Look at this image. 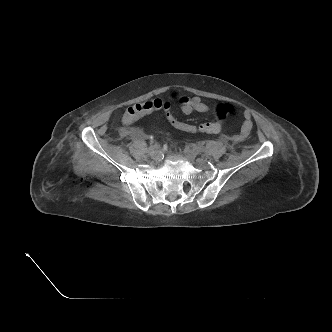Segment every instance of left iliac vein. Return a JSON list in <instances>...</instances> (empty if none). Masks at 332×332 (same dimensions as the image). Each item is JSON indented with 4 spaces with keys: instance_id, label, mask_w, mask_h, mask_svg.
Returning a JSON list of instances; mask_svg holds the SVG:
<instances>
[{
    "instance_id": "obj_1",
    "label": "left iliac vein",
    "mask_w": 332,
    "mask_h": 332,
    "mask_svg": "<svg viewBox=\"0 0 332 332\" xmlns=\"http://www.w3.org/2000/svg\"><path fill=\"white\" fill-rule=\"evenodd\" d=\"M185 154H186V156L188 157V158H190V159H195L196 158V152L195 151H193V150H191L190 148H186L185 149Z\"/></svg>"
}]
</instances>
